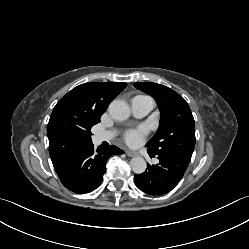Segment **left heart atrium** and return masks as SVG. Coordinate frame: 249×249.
Instances as JSON below:
<instances>
[{"instance_id": "39dd6f15", "label": "left heart atrium", "mask_w": 249, "mask_h": 249, "mask_svg": "<svg viewBox=\"0 0 249 249\" xmlns=\"http://www.w3.org/2000/svg\"><path fill=\"white\" fill-rule=\"evenodd\" d=\"M146 135V131L143 128L131 129L124 133V140L130 145H137L141 143Z\"/></svg>"}]
</instances>
